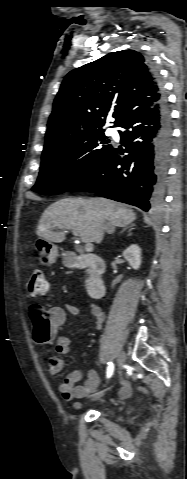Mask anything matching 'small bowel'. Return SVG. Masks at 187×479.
Returning <instances> with one entry per match:
<instances>
[{"instance_id": "obj_1", "label": "small bowel", "mask_w": 187, "mask_h": 479, "mask_svg": "<svg viewBox=\"0 0 187 479\" xmlns=\"http://www.w3.org/2000/svg\"><path fill=\"white\" fill-rule=\"evenodd\" d=\"M37 304L30 306V315L34 320L38 314L35 310ZM69 312L73 315H79L80 309L73 305H63V306H54L49 309V324L45 325L41 322H35L36 333L40 337L47 336L49 334L56 335V355H52L48 359V371L51 375H58L61 373L65 367L63 359L60 357L66 355L70 352V339L66 335H59V329L65 322V313ZM89 313L93 319V323L96 329H100L104 322V313L102 309L94 304L90 303ZM86 376L84 385L75 386V383ZM100 379L98 374L90 370L85 372L82 369H78L70 373L59 385V391L62 397L71 401L73 399L84 398L94 392L98 385ZM131 392L130 383L125 379H121V388L119 391V396L126 397ZM77 405V404H76Z\"/></svg>"}]
</instances>
